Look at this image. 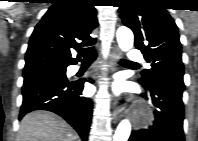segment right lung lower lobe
I'll list each match as a JSON object with an SVG mask.
<instances>
[{
    "label": "right lung lower lobe",
    "mask_w": 198,
    "mask_h": 141,
    "mask_svg": "<svg viewBox=\"0 0 198 141\" xmlns=\"http://www.w3.org/2000/svg\"><path fill=\"white\" fill-rule=\"evenodd\" d=\"M84 82V79L69 82L66 75L61 74L24 78L20 119L34 110H48L62 116L86 141L92 118V101L82 95Z\"/></svg>",
    "instance_id": "98d812e1"
}]
</instances>
